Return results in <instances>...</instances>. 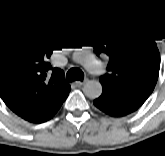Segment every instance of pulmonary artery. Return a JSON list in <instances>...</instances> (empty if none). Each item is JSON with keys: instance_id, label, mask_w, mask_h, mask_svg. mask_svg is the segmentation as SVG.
I'll list each match as a JSON object with an SVG mask.
<instances>
[{"instance_id": "e3ab8cb5", "label": "pulmonary artery", "mask_w": 165, "mask_h": 156, "mask_svg": "<svg viewBox=\"0 0 165 156\" xmlns=\"http://www.w3.org/2000/svg\"><path fill=\"white\" fill-rule=\"evenodd\" d=\"M76 59L84 66L86 67L90 72L92 73H98L99 72V65L95 63L89 55H87L84 52H78L76 54Z\"/></svg>"}]
</instances>
